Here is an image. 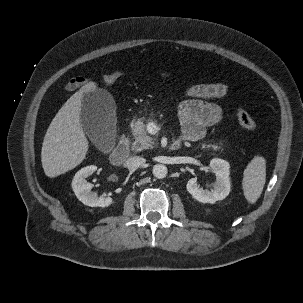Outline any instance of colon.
<instances>
[{
	"mask_svg": "<svg viewBox=\"0 0 303 303\" xmlns=\"http://www.w3.org/2000/svg\"><path fill=\"white\" fill-rule=\"evenodd\" d=\"M122 76V71H115L103 76V82L106 85L114 84ZM238 123L248 131H257L259 125L257 122L242 108L237 107L234 111Z\"/></svg>",
	"mask_w": 303,
	"mask_h": 303,
	"instance_id": "1",
	"label": "colon"
}]
</instances>
